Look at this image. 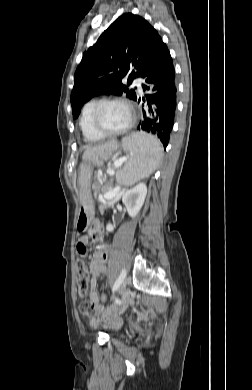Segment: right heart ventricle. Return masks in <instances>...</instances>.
Instances as JSON below:
<instances>
[{"label": "right heart ventricle", "mask_w": 252, "mask_h": 390, "mask_svg": "<svg viewBox=\"0 0 252 390\" xmlns=\"http://www.w3.org/2000/svg\"><path fill=\"white\" fill-rule=\"evenodd\" d=\"M98 101L95 99L89 100L86 102L81 110L79 125L82 131V134L87 142H98L101 141L105 136L101 135L95 130L92 125L91 115L94 106Z\"/></svg>", "instance_id": "e07e8e85"}]
</instances>
